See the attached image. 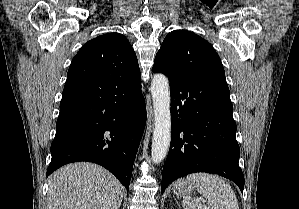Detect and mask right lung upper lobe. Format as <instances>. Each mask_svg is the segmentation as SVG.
<instances>
[{
    "label": "right lung upper lobe",
    "mask_w": 299,
    "mask_h": 209,
    "mask_svg": "<svg viewBox=\"0 0 299 209\" xmlns=\"http://www.w3.org/2000/svg\"><path fill=\"white\" fill-rule=\"evenodd\" d=\"M116 75L134 82L140 79L136 54L122 34L98 36L77 52L67 73V82Z\"/></svg>",
    "instance_id": "cb5924a9"
}]
</instances>
